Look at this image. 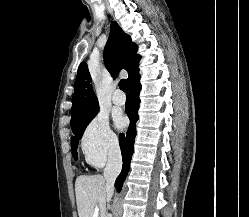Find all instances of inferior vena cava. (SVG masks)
Masks as SVG:
<instances>
[{"label": "inferior vena cava", "instance_id": "obj_1", "mask_svg": "<svg viewBox=\"0 0 249 217\" xmlns=\"http://www.w3.org/2000/svg\"><path fill=\"white\" fill-rule=\"evenodd\" d=\"M122 169V156L119 144L113 141L109 147L108 162L104 169L106 180L107 201H110L114 192V183Z\"/></svg>", "mask_w": 249, "mask_h": 217}]
</instances>
